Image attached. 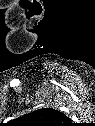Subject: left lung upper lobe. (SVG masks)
Here are the masks:
<instances>
[{"instance_id": "left-lung-upper-lobe-1", "label": "left lung upper lobe", "mask_w": 95, "mask_h": 126, "mask_svg": "<svg viewBox=\"0 0 95 126\" xmlns=\"http://www.w3.org/2000/svg\"><path fill=\"white\" fill-rule=\"evenodd\" d=\"M66 115L53 108H42L18 118L22 126H67Z\"/></svg>"}]
</instances>
